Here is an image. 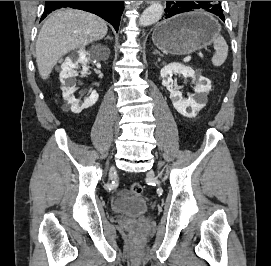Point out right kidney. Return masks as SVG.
<instances>
[{
    "instance_id": "1",
    "label": "right kidney",
    "mask_w": 271,
    "mask_h": 266,
    "mask_svg": "<svg viewBox=\"0 0 271 266\" xmlns=\"http://www.w3.org/2000/svg\"><path fill=\"white\" fill-rule=\"evenodd\" d=\"M99 53L96 51H86L85 48L79 49L76 53L69 55L61 65L60 81L62 83V95L64 100L71 105V111L80 113L83 109L93 106L98 100V93L93 90L90 96L81 104L75 99V77L78 73L74 70L78 63L86 64L92 58L98 59ZM87 68L84 66L82 74H85Z\"/></svg>"
}]
</instances>
